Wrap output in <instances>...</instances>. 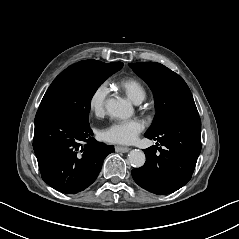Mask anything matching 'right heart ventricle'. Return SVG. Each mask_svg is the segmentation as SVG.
<instances>
[{"mask_svg":"<svg viewBox=\"0 0 239 239\" xmlns=\"http://www.w3.org/2000/svg\"><path fill=\"white\" fill-rule=\"evenodd\" d=\"M124 89L135 101H141L146 96L144 86L134 79H126L122 82Z\"/></svg>","mask_w":239,"mask_h":239,"instance_id":"obj_1","label":"right heart ventricle"}]
</instances>
